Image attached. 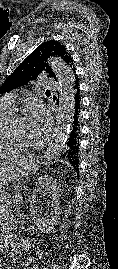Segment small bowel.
<instances>
[{
	"mask_svg": "<svg viewBox=\"0 0 118 269\" xmlns=\"http://www.w3.org/2000/svg\"><path fill=\"white\" fill-rule=\"evenodd\" d=\"M0 225V251L9 252L10 260L15 259L16 252L26 251L31 247L29 240L15 237L14 218L10 212V205L0 206Z\"/></svg>",
	"mask_w": 118,
	"mask_h": 269,
	"instance_id": "1",
	"label": "small bowel"
}]
</instances>
